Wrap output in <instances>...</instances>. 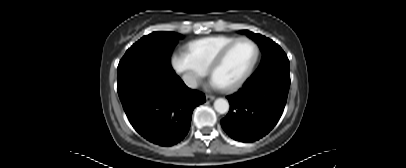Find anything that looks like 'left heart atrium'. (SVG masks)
Wrapping results in <instances>:
<instances>
[{
	"label": "left heart atrium",
	"mask_w": 406,
	"mask_h": 168,
	"mask_svg": "<svg viewBox=\"0 0 406 168\" xmlns=\"http://www.w3.org/2000/svg\"><path fill=\"white\" fill-rule=\"evenodd\" d=\"M211 86H213L215 88H221V86L214 79H212V81H211Z\"/></svg>",
	"instance_id": "1"
}]
</instances>
